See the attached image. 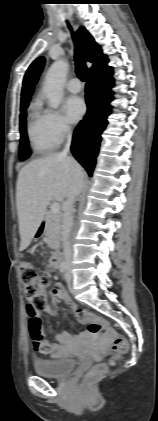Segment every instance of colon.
Returning <instances> with one entry per match:
<instances>
[{"label":"colon","mask_w":158,"mask_h":421,"mask_svg":"<svg viewBox=\"0 0 158 421\" xmlns=\"http://www.w3.org/2000/svg\"><path fill=\"white\" fill-rule=\"evenodd\" d=\"M20 272L28 302L27 310L29 311L31 322L34 325H39L40 319L38 312L46 306L45 289L48 286V281L45 277L41 276L28 261H22L20 263ZM81 318L87 325V330L90 335L98 336L103 333L104 336L110 337L112 350L115 353L111 363L128 351L129 346L127 340L110 329L103 319L95 316H81ZM106 367L107 366L104 363L97 364L88 373L87 379L92 380L103 374Z\"/></svg>","instance_id":"obj_1"}]
</instances>
